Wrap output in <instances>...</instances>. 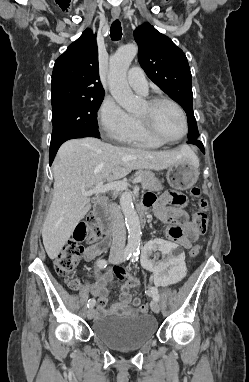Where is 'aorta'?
<instances>
[{"mask_svg":"<svg viewBox=\"0 0 249 382\" xmlns=\"http://www.w3.org/2000/svg\"><path fill=\"white\" fill-rule=\"evenodd\" d=\"M137 52L138 49L134 44H127L120 47L110 58L108 73L110 93L116 102L128 112H134L138 108V100L130 89L126 79L127 70L137 55ZM120 204L128 230L126 249L130 254L137 255L140 249L142 233L139 217L134 209L131 194L124 193L121 197Z\"/></svg>","mask_w":249,"mask_h":382,"instance_id":"762f6f07","label":"aorta"}]
</instances>
